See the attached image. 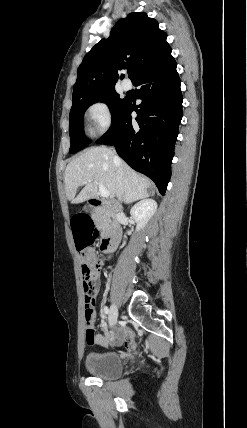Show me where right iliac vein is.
Instances as JSON below:
<instances>
[{
	"mask_svg": "<svg viewBox=\"0 0 247 428\" xmlns=\"http://www.w3.org/2000/svg\"><path fill=\"white\" fill-rule=\"evenodd\" d=\"M118 317V309L115 304L111 305L110 312H109V324L110 326H113L117 322Z\"/></svg>",
	"mask_w": 247,
	"mask_h": 428,
	"instance_id": "right-iliac-vein-1",
	"label": "right iliac vein"
}]
</instances>
